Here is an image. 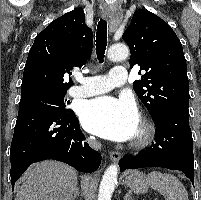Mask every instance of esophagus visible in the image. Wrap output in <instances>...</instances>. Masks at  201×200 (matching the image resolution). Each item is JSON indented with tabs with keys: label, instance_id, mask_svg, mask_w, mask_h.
<instances>
[{
	"label": "esophagus",
	"instance_id": "1",
	"mask_svg": "<svg viewBox=\"0 0 201 200\" xmlns=\"http://www.w3.org/2000/svg\"><path fill=\"white\" fill-rule=\"evenodd\" d=\"M112 11L110 9H106L103 11V17L109 18L111 17ZM121 158V153L119 151H111L110 159L113 161H118Z\"/></svg>",
	"mask_w": 201,
	"mask_h": 200
}]
</instances>
